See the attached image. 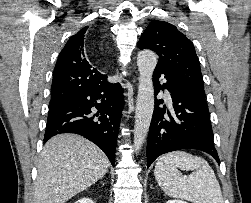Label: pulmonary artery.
Instances as JSON below:
<instances>
[{
	"label": "pulmonary artery",
	"mask_w": 251,
	"mask_h": 203,
	"mask_svg": "<svg viewBox=\"0 0 251 203\" xmlns=\"http://www.w3.org/2000/svg\"><path fill=\"white\" fill-rule=\"evenodd\" d=\"M166 96H167V97H169V93H168V91H166Z\"/></svg>",
	"instance_id": "pulmonary-artery-1"
}]
</instances>
